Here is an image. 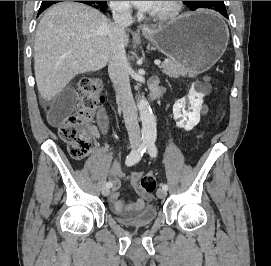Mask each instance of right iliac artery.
Wrapping results in <instances>:
<instances>
[{"mask_svg": "<svg viewBox=\"0 0 271 266\" xmlns=\"http://www.w3.org/2000/svg\"><path fill=\"white\" fill-rule=\"evenodd\" d=\"M148 148V142L147 141H143L141 143V145L135 149V150H132L128 156L126 157V165L127 166H132L134 164H136L140 159L141 157L143 156V154L146 152ZM106 186H108L109 188L112 187V183L110 181H108L106 183Z\"/></svg>", "mask_w": 271, "mask_h": 266, "instance_id": "obj_1", "label": "right iliac artery"}]
</instances>
